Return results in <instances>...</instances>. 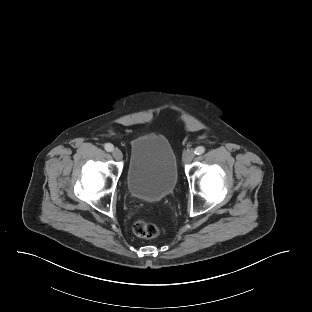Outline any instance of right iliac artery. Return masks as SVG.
Listing matches in <instances>:
<instances>
[{"label":"right iliac artery","mask_w":312,"mask_h":312,"mask_svg":"<svg viewBox=\"0 0 312 312\" xmlns=\"http://www.w3.org/2000/svg\"><path fill=\"white\" fill-rule=\"evenodd\" d=\"M104 148L106 151L111 152L114 149V146L110 143H107L105 144Z\"/></svg>","instance_id":"right-iliac-artery-1"}]
</instances>
